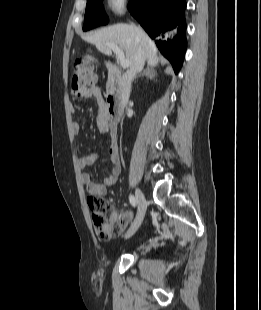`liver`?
<instances>
[{
    "mask_svg": "<svg viewBox=\"0 0 261 310\" xmlns=\"http://www.w3.org/2000/svg\"><path fill=\"white\" fill-rule=\"evenodd\" d=\"M84 40L94 44L98 50L111 55L112 50L105 46L113 43L125 51L126 59L131 66L140 45L144 46L148 65L155 67L158 64L157 48L150 37L139 27L130 24H116L103 28L95 33L84 36Z\"/></svg>",
    "mask_w": 261,
    "mask_h": 310,
    "instance_id": "obj_1",
    "label": "liver"
}]
</instances>
